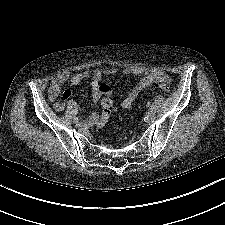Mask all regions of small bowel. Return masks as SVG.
<instances>
[{
	"mask_svg": "<svg viewBox=\"0 0 225 225\" xmlns=\"http://www.w3.org/2000/svg\"><path fill=\"white\" fill-rule=\"evenodd\" d=\"M117 73L115 67L96 68L94 70H84L76 75L70 76L67 71L58 73L48 89V96L51 102L54 103L55 109L61 111L63 104L58 102L57 99L61 93V87L69 82L72 86L79 85L84 79L92 78L90 84V92L95 102L100 101L102 98H110L111 88L107 84L100 83V80L105 75H114ZM123 74L127 76H141L139 81L129 90L126 97L122 100L120 107L122 109H128L140 95V93L157 82H170V78L166 73L158 69L145 70L139 67L125 68ZM72 95L71 90L67 89L62 93L64 99L70 98ZM102 100V101H103ZM97 114H93L88 119V124L93 125L97 119Z\"/></svg>",
	"mask_w": 225,
	"mask_h": 225,
	"instance_id": "small-bowel-1",
	"label": "small bowel"
}]
</instances>
